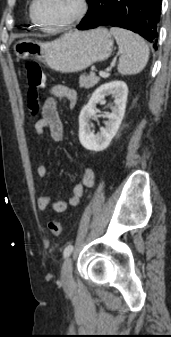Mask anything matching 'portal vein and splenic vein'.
I'll use <instances>...</instances> for the list:
<instances>
[{
	"label": "portal vein and splenic vein",
	"instance_id": "portal-vein-and-splenic-vein-1",
	"mask_svg": "<svg viewBox=\"0 0 171 337\" xmlns=\"http://www.w3.org/2000/svg\"><path fill=\"white\" fill-rule=\"evenodd\" d=\"M99 75H100L101 77H104V78H106V77H108V76H109V73H107V72H104V71H100V72H99Z\"/></svg>",
	"mask_w": 171,
	"mask_h": 337
}]
</instances>
